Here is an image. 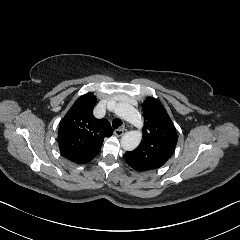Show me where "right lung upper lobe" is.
<instances>
[{
  "label": "right lung upper lobe",
  "mask_w": 240,
  "mask_h": 240,
  "mask_svg": "<svg viewBox=\"0 0 240 240\" xmlns=\"http://www.w3.org/2000/svg\"><path fill=\"white\" fill-rule=\"evenodd\" d=\"M96 101L92 93L81 96L59 125L60 151L72 162L83 164L92 160L99 153L103 139L112 135L110 123L93 115Z\"/></svg>",
  "instance_id": "right-lung-upper-lobe-1"
}]
</instances>
